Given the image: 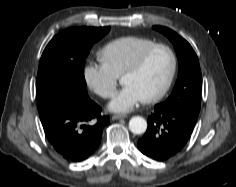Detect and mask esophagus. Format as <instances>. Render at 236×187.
<instances>
[{
  "mask_svg": "<svg viewBox=\"0 0 236 187\" xmlns=\"http://www.w3.org/2000/svg\"><path fill=\"white\" fill-rule=\"evenodd\" d=\"M123 118H127V115L117 114V115L112 116L113 120H118V119H123Z\"/></svg>",
  "mask_w": 236,
  "mask_h": 187,
  "instance_id": "1",
  "label": "esophagus"
}]
</instances>
